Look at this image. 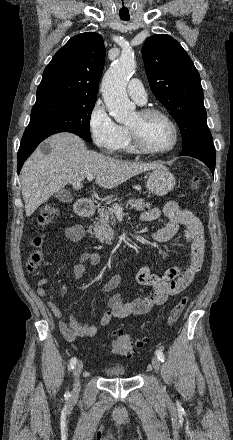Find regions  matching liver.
I'll list each match as a JSON object with an SVG mask.
<instances>
[{
  "label": "liver",
  "instance_id": "liver-1",
  "mask_svg": "<svg viewBox=\"0 0 233 440\" xmlns=\"http://www.w3.org/2000/svg\"><path fill=\"white\" fill-rule=\"evenodd\" d=\"M45 143L51 146L50 153L36 149L21 170L27 217L65 185L81 189L87 175H94L100 187L111 189L142 172L166 168L159 163L118 160L87 150L84 141L69 132L52 135Z\"/></svg>",
  "mask_w": 233,
  "mask_h": 440
}]
</instances>
